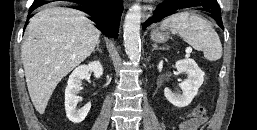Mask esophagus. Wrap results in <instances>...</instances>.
I'll use <instances>...</instances> for the list:
<instances>
[{"mask_svg":"<svg viewBox=\"0 0 257 130\" xmlns=\"http://www.w3.org/2000/svg\"><path fill=\"white\" fill-rule=\"evenodd\" d=\"M152 11H153L152 6L150 5L143 6L142 19L143 20L147 19L151 15Z\"/></svg>","mask_w":257,"mask_h":130,"instance_id":"34e87169","label":"esophagus"}]
</instances>
